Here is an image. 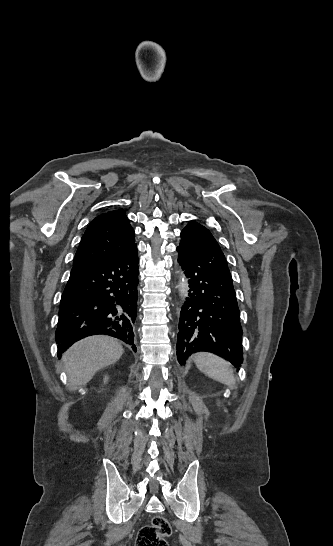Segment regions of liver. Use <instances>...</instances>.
I'll return each instance as SVG.
<instances>
[{"instance_id": "obj_1", "label": "liver", "mask_w": 333, "mask_h": 546, "mask_svg": "<svg viewBox=\"0 0 333 546\" xmlns=\"http://www.w3.org/2000/svg\"><path fill=\"white\" fill-rule=\"evenodd\" d=\"M123 354L120 343L107 336H92L75 343L62 357L68 386H85L100 369L116 363Z\"/></svg>"}]
</instances>
